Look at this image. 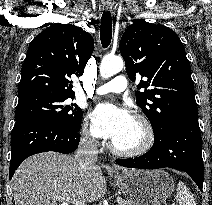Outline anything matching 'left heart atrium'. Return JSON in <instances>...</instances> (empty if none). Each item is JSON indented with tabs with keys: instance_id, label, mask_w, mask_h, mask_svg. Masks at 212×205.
Masks as SVG:
<instances>
[{
	"instance_id": "39dd6f15",
	"label": "left heart atrium",
	"mask_w": 212,
	"mask_h": 205,
	"mask_svg": "<svg viewBox=\"0 0 212 205\" xmlns=\"http://www.w3.org/2000/svg\"><path fill=\"white\" fill-rule=\"evenodd\" d=\"M133 118L125 108L101 104L93 113V130L97 136L115 140L131 124Z\"/></svg>"
}]
</instances>
